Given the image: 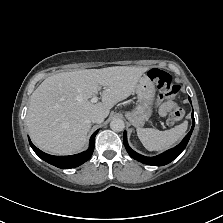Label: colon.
<instances>
[{"label": "colon", "instance_id": "5ec220e1", "mask_svg": "<svg viewBox=\"0 0 223 223\" xmlns=\"http://www.w3.org/2000/svg\"><path fill=\"white\" fill-rule=\"evenodd\" d=\"M149 78L157 85V87L171 101L179 92V86L173 81L172 76L160 69H152L148 73ZM183 111L180 108H175L168 116L167 123L173 125L183 118Z\"/></svg>", "mask_w": 223, "mask_h": 223}]
</instances>
